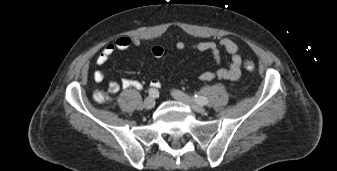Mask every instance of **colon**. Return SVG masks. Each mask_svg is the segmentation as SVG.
Wrapping results in <instances>:
<instances>
[{
  "label": "colon",
  "mask_w": 337,
  "mask_h": 171,
  "mask_svg": "<svg viewBox=\"0 0 337 171\" xmlns=\"http://www.w3.org/2000/svg\"><path fill=\"white\" fill-rule=\"evenodd\" d=\"M243 67L247 70V71H252L254 68H255V63L254 61L252 60V58L250 57H245L243 59ZM95 99L98 101V102H105L106 99H107V96L102 93V92H99L95 95Z\"/></svg>",
  "instance_id": "colon-1"
}]
</instances>
